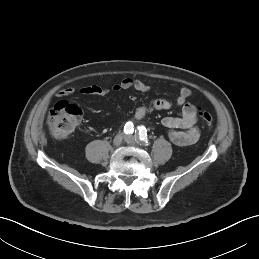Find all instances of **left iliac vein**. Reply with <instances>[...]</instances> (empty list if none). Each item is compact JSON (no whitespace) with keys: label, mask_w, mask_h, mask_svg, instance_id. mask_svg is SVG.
Here are the masks:
<instances>
[{"label":"left iliac vein","mask_w":259,"mask_h":259,"mask_svg":"<svg viewBox=\"0 0 259 259\" xmlns=\"http://www.w3.org/2000/svg\"><path fill=\"white\" fill-rule=\"evenodd\" d=\"M125 141L129 145H132V146L136 145V138L133 135H126Z\"/></svg>","instance_id":"1"}]
</instances>
